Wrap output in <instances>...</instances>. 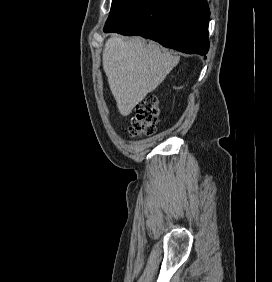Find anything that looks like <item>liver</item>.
Masks as SVG:
<instances>
[{"label": "liver", "mask_w": 272, "mask_h": 282, "mask_svg": "<svg viewBox=\"0 0 272 282\" xmlns=\"http://www.w3.org/2000/svg\"><path fill=\"white\" fill-rule=\"evenodd\" d=\"M180 60L158 44L140 37H111L102 54L103 69L122 116H128L160 85Z\"/></svg>", "instance_id": "liver-1"}]
</instances>
